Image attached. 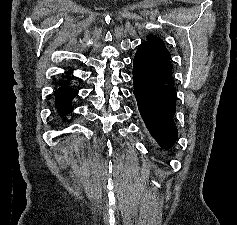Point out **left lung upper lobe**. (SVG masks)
<instances>
[{
	"label": "left lung upper lobe",
	"instance_id": "5c2ea615",
	"mask_svg": "<svg viewBox=\"0 0 237 225\" xmlns=\"http://www.w3.org/2000/svg\"><path fill=\"white\" fill-rule=\"evenodd\" d=\"M170 53L164 42L153 35L141 43L134 57L133 74L150 84H169L172 80Z\"/></svg>",
	"mask_w": 237,
	"mask_h": 225
}]
</instances>
